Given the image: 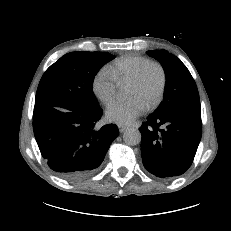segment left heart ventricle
<instances>
[{"mask_svg":"<svg viewBox=\"0 0 231 231\" xmlns=\"http://www.w3.org/2000/svg\"><path fill=\"white\" fill-rule=\"evenodd\" d=\"M161 85V72L158 67H150L140 85L128 87V98H137L147 106L158 94Z\"/></svg>","mask_w":231,"mask_h":231,"instance_id":"left-heart-ventricle-1","label":"left heart ventricle"}]
</instances>
